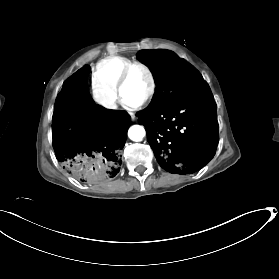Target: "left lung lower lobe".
Wrapping results in <instances>:
<instances>
[{
  "mask_svg": "<svg viewBox=\"0 0 279 279\" xmlns=\"http://www.w3.org/2000/svg\"><path fill=\"white\" fill-rule=\"evenodd\" d=\"M137 116L146 127L159 165L167 172L194 173L215 155L219 140L216 103L207 83L158 112L140 111Z\"/></svg>",
  "mask_w": 279,
  "mask_h": 279,
  "instance_id": "1",
  "label": "left lung lower lobe"
}]
</instances>
